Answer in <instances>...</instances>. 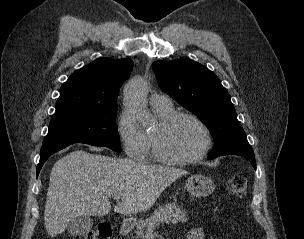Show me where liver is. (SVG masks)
Masks as SVG:
<instances>
[{
  "label": "liver",
  "instance_id": "liver-1",
  "mask_svg": "<svg viewBox=\"0 0 304 239\" xmlns=\"http://www.w3.org/2000/svg\"><path fill=\"white\" fill-rule=\"evenodd\" d=\"M186 174L178 168L73 151L59 159L51 170L44 211L46 231L55 237L78 216L108 214L109 197L115 193H122V200L114 212L146 211L165 188Z\"/></svg>",
  "mask_w": 304,
  "mask_h": 239
}]
</instances>
